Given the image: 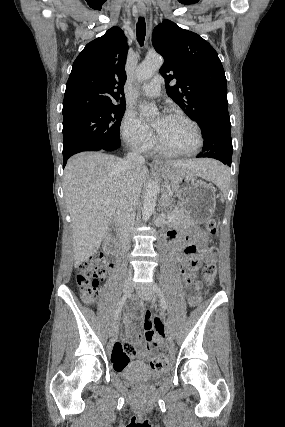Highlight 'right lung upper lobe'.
Here are the masks:
<instances>
[{
    "mask_svg": "<svg viewBox=\"0 0 285 427\" xmlns=\"http://www.w3.org/2000/svg\"><path fill=\"white\" fill-rule=\"evenodd\" d=\"M128 48L124 32L118 27L85 46L66 84L63 117L113 106L115 102L126 105L123 86Z\"/></svg>",
    "mask_w": 285,
    "mask_h": 427,
    "instance_id": "cb5924a9",
    "label": "right lung upper lobe"
}]
</instances>
